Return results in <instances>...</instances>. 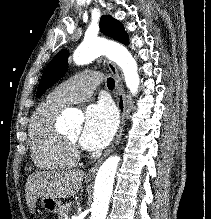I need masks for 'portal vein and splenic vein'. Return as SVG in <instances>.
Segmentation results:
<instances>
[{
    "instance_id": "18ae733b",
    "label": "portal vein and splenic vein",
    "mask_w": 211,
    "mask_h": 219,
    "mask_svg": "<svg viewBox=\"0 0 211 219\" xmlns=\"http://www.w3.org/2000/svg\"><path fill=\"white\" fill-rule=\"evenodd\" d=\"M65 219H69L68 216H66Z\"/></svg>"
}]
</instances>
